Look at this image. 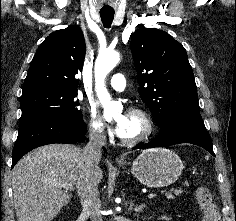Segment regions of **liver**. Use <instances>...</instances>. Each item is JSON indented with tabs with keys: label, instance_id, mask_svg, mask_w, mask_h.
Segmentation results:
<instances>
[{
	"label": "liver",
	"instance_id": "liver-1",
	"mask_svg": "<svg viewBox=\"0 0 236 221\" xmlns=\"http://www.w3.org/2000/svg\"><path fill=\"white\" fill-rule=\"evenodd\" d=\"M13 198L18 221H51L72 195L62 190L70 184L78 194L88 180L82 149L68 144L42 146L23 157L14 167ZM100 182L102 171L94 168Z\"/></svg>",
	"mask_w": 236,
	"mask_h": 221
}]
</instances>
